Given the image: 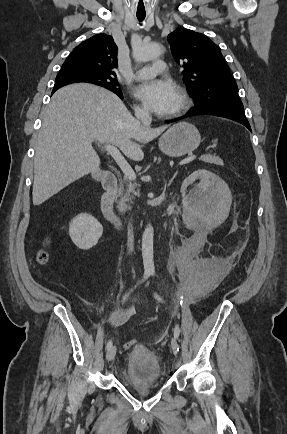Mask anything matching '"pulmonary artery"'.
I'll return each mask as SVG.
<instances>
[{
	"mask_svg": "<svg viewBox=\"0 0 287 434\" xmlns=\"http://www.w3.org/2000/svg\"><path fill=\"white\" fill-rule=\"evenodd\" d=\"M166 71V63L161 60L154 61L152 65L139 69L135 78L138 80L148 79L156 74H164Z\"/></svg>",
	"mask_w": 287,
	"mask_h": 434,
	"instance_id": "e3ab8cb5",
	"label": "pulmonary artery"
}]
</instances>
